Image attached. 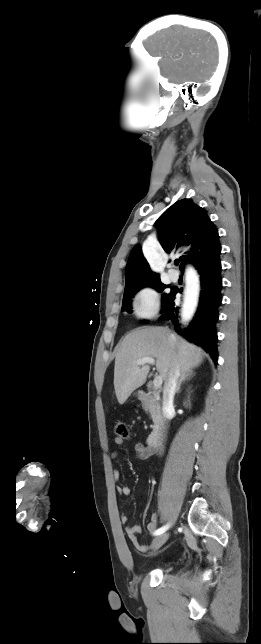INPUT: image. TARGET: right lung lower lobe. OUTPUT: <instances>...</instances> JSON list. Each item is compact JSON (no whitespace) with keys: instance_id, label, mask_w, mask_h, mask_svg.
<instances>
[{"instance_id":"right-lung-lower-lobe-1","label":"right lung lower lobe","mask_w":261,"mask_h":644,"mask_svg":"<svg viewBox=\"0 0 261 644\" xmlns=\"http://www.w3.org/2000/svg\"><path fill=\"white\" fill-rule=\"evenodd\" d=\"M201 275V292L199 306L190 322L189 327L181 329L179 323V307L175 306V295L181 290L175 288V293L164 308V319H170L177 333L188 341L201 346L217 362V329L219 306L221 305L222 277L219 257L206 264L195 265Z\"/></svg>"}]
</instances>
